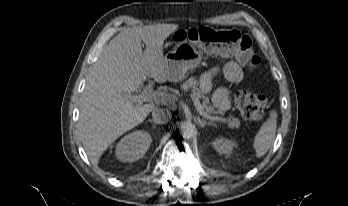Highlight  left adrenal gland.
Instances as JSON below:
<instances>
[{"label": "left adrenal gland", "mask_w": 348, "mask_h": 206, "mask_svg": "<svg viewBox=\"0 0 348 206\" xmlns=\"http://www.w3.org/2000/svg\"><path fill=\"white\" fill-rule=\"evenodd\" d=\"M197 123L201 126V127H205V125H215L213 122H207L205 120L200 119L199 117L197 118Z\"/></svg>", "instance_id": "left-adrenal-gland-1"}]
</instances>
